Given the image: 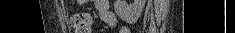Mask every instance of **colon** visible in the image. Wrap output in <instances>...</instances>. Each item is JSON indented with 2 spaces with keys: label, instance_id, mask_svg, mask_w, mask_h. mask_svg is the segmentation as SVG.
Returning a JSON list of instances; mask_svg holds the SVG:
<instances>
[{
  "label": "colon",
  "instance_id": "5ec220e1",
  "mask_svg": "<svg viewBox=\"0 0 235 33\" xmlns=\"http://www.w3.org/2000/svg\"><path fill=\"white\" fill-rule=\"evenodd\" d=\"M74 33H91L92 19L87 13H75L70 19Z\"/></svg>",
  "mask_w": 235,
  "mask_h": 33
}]
</instances>
